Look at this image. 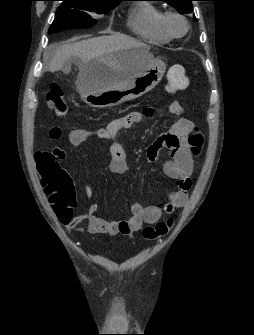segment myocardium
I'll return each mask as SVG.
<instances>
[{
	"label": "myocardium",
	"instance_id": "obj_1",
	"mask_svg": "<svg viewBox=\"0 0 254 335\" xmlns=\"http://www.w3.org/2000/svg\"><path fill=\"white\" fill-rule=\"evenodd\" d=\"M171 18H177V19L181 20L183 22V24L185 25V29L181 34H175L170 29L169 20ZM160 26H161V29L163 30V32L166 35H168L170 38H181L188 32V30L190 28V25H189V22H188L187 18L183 14H181L179 12H176V11L164 12L162 17H161V20H160Z\"/></svg>",
	"mask_w": 254,
	"mask_h": 335
}]
</instances>
